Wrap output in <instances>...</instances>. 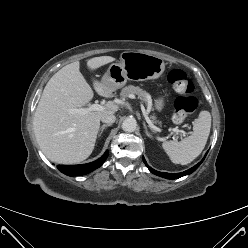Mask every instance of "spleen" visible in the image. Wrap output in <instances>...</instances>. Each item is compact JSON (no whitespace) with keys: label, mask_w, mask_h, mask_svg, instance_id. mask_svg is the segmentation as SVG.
I'll return each mask as SVG.
<instances>
[{"label":"spleen","mask_w":248,"mask_h":248,"mask_svg":"<svg viewBox=\"0 0 248 248\" xmlns=\"http://www.w3.org/2000/svg\"><path fill=\"white\" fill-rule=\"evenodd\" d=\"M211 128V115L201 111L194 121L193 132L190 136L177 141H165L162 147L170 160L175 164L187 165L203 151Z\"/></svg>","instance_id":"obj_1"}]
</instances>
